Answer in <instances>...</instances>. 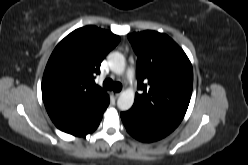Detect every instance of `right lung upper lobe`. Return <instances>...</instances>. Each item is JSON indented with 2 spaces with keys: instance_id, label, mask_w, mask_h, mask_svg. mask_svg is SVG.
<instances>
[{
  "instance_id": "1",
  "label": "right lung upper lobe",
  "mask_w": 248,
  "mask_h": 165,
  "mask_svg": "<svg viewBox=\"0 0 248 165\" xmlns=\"http://www.w3.org/2000/svg\"><path fill=\"white\" fill-rule=\"evenodd\" d=\"M120 37L95 26L76 29L54 49L44 71L42 98L57 128L73 133L97 119L109 95L95 84L105 56Z\"/></svg>"
}]
</instances>
